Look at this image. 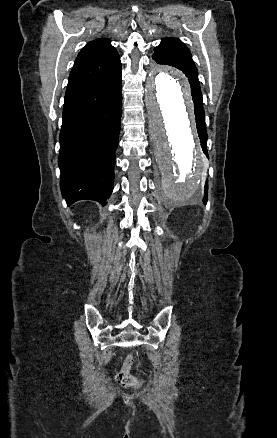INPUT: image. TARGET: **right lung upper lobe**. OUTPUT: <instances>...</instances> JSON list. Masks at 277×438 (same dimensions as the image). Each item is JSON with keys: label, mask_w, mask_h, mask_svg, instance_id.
<instances>
[{"label": "right lung upper lobe", "mask_w": 277, "mask_h": 438, "mask_svg": "<svg viewBox=\"0 0 277 438\" xmlns=\"http://www.w3.org/2000/svg\"><path fill=\"white\" fill-rule=\"evenodd\" d=\"M121 69L116 49L107 38L89 42L78 54L69 76L66 93L108 78Z\"/></svg>", "instance_id": "obj_1"}]
</instances>
